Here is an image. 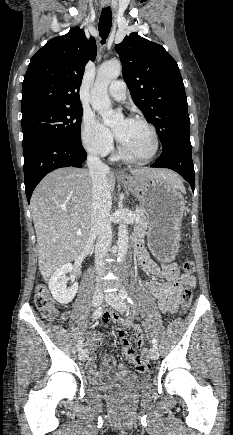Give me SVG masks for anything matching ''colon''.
<instances>
[{"label": "colon", "instance_id": "1", "mask_svg": "<svg viewBox=\"0 0 233 435\" xmlns=\"http://www.w3.org/2000/svg\"><path fill=\"white\" fill-rule=\"evenodd\" d=\"M182 270L184 273L185 287L182 293L183 310H187L190 307L192 300V283L193 274L196 270L195 263L193 261H186L183 263ZM34 302L43 317L48 320H56L64 316L54 307L53 302L50 299L49 292L45 285L39 284L35 289ZM147 353L142 352L135 364L139 372H148L149 365L147 360Z\"/></svg>", "mask_w": 233, "mask_h": 435}]
</instances>
